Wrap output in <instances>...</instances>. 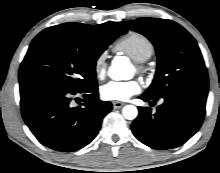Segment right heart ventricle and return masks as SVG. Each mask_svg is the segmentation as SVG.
<instances>
[{"instance_id":"e07e8e85","label":"right heart ventricle","mask_w":220,"mask_h":173,"mask_svg":"<svg viewBox=\"0 0 220 173\" xmlns=\"http://www.w3.org/2000/svg\"><path fill=\"white\" fill-rule=\"evenodd\" d=\"M114 50L129 56L135 62H143L153 54L154 46L145 35L129 32L115 44Z\"/></svg>"}]
</instances>
